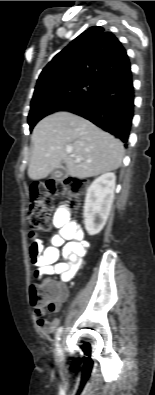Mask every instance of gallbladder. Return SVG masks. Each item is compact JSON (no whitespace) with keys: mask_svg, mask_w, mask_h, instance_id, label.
Here are the masks:
<instances>
[{"mask_svg":"<svg viewBox=\"0 0 155 395\" xmlns=\"http://www.w3.org/2000/svg\"><path fill=\"white\" fill-rule=\"evenodd\" d=\"M67 176H68L67 170L63 165L59 166L51 173V177L57 181L63 180Z\"/></svg>","mask_w":155,"mask_h":395,"instance_id":"obj_1","label":"gallbladder"}]
</instances>
